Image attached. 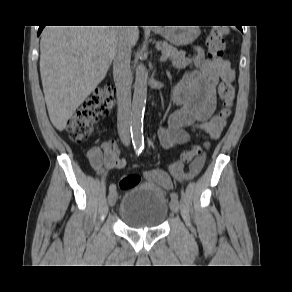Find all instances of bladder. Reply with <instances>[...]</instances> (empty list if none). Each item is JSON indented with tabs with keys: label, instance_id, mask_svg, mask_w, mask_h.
Instances as JSON below:
<instances>
[{
	"label": "bladder",
	"instance_id": "bladder-1",
	"mask_svg": "<svg viewBox=\"0 0 292 292\" xmlns=\"http://www.w3.org/2000/svg\"><path fill=\"white\" fill-rule=\"evenodd\" d=\"M168 207L166 194L159 186L139 184L125 190L119 206V217L129 228L154 229L165 221Z\"/></svg>",
	"mask_w": 292,
	"mask_h": 292
}]
</instances>
